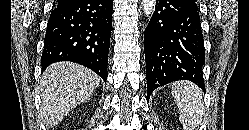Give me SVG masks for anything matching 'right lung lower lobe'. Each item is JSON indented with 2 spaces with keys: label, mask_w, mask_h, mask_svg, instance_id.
<instances>
[{
  "label": "right lung lower lobe",
  "mask_w": 249,
  "mask_h": 130,
  "mask_svg": "<svg viewBox=\"0 0 249 130\" xmlns=\"http://www.w3.org/2000/svg\"><path fill=\"white\" fill-rule=\"evenodd\" d=\"M113 0H68L48 21L42 69L59 61L84 65L107 80Z\"/></svg>",
  "instance_id": "98d812e1"
}]
</instances>
